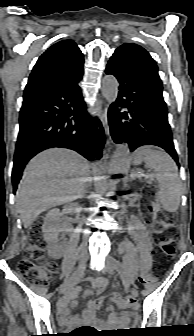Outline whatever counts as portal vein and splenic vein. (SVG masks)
Returning <instances> with one entry per match:
<instances>
[{"label": "portal vein and splenic vein", "instance_id": "1", "mask_svg": "<svg viewBox=\"0 0 194 336\" xmlns=\"http://www.w3.org/2000/svg\"><path fill=\"white\" fill-rule=\"evenodd\" d=\"M150 176H152V175H147V174H144V173H140L138 175V177H150Z\"/></svg>", "mask_w": 194, "mask_h": 336}]
</instances>
